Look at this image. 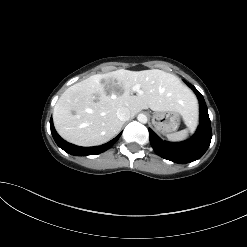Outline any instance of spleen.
<instances>
[{
	"label": "spleen",
	"instance_id": "3e777b00",
	"mask_svg": "<svg viewBox=\"0 0 247 247\" xmlns=\"http://www.w3.org/2000/svg\"><path fill=\"white\" fill-rule=\"evenodd\" d=\"M185 123L188 126L187 129H184V130H181L175 133L167 134V138L173 142L185 140L188 137V133L190 129H192L194 125L196 124V120L193 119L191 121H186Z\"/></svg>",
	"mask_w": 247,
	"mask_h": 247
}]
</instances>
